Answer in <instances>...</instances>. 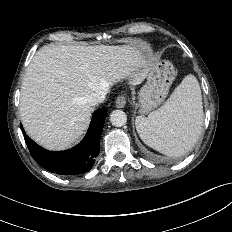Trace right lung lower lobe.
<instances>
[{
    "label": "right lung lower lobe",
    "mask_w": 232,
    "mask_h": 232,
    "mask_svg": "<svg viewBox=\"0 0 232 232\" xmlns=\"http://www.w3.org/2000/svg\"><path fill=\"white\" fill-rule=\"evenodd\" d=\"M106 109L94 112L85 138L67 151L51 152L38 146L23 130L24 139L33 159L46 170L60 175H77L90 171L100 152V137L106 119Z\"/></svg>",
    "instance_id": "obj_1"
}]
</instances>
